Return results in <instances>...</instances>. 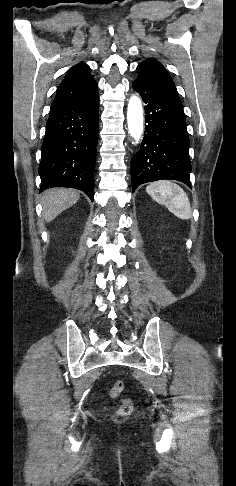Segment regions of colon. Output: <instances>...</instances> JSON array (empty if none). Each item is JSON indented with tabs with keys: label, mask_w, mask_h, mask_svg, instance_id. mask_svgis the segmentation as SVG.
I'll list each match as a JSON object with an SVG mask.
<instances>
[{
	"label": "colon",
	"mask_w": 236,
	"mask_h": 486,
	"mask_svg": "<svg viewBox=\"0 0 236 486\" xmlns=\"http://www.w3.org/2000/svg\"><path fill=\"white\" fill-rule=\"evenodd\" d=\"M124 389V383L117 381L109 390V396L111 398L118 397ZM133 411V402L130 399H123L118 407V414L120 416H127Z\"/></svg>",
	"instance_id": "colon-1"
}]
</instances>
